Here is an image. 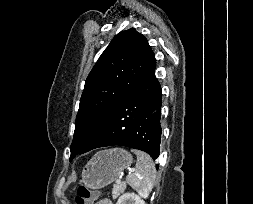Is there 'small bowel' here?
I'll use <instances>...</instances> for the list:
<instances>
[{
  "instance_id": "small-bowel-1",
  "label": "small bowel",
  "mask_w": 253,
  "mask_h": 204,
  "mask_svg": "<svg viewBox=\"0 0 253 204\" xmlns=\"http://www.w3.org/2000/svg\"><path fill=\"white\" fill-rule=\"evenodd\" d=\"M96 204H113L109 199H101Z\"/></svg>"
}]
</instances>
